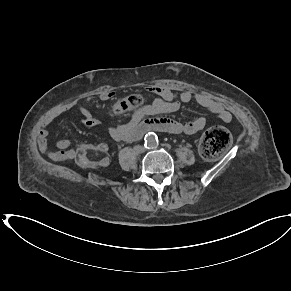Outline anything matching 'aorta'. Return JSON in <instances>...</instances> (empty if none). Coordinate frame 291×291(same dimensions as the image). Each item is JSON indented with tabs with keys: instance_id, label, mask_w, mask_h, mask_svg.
<instances>
[{
	"instance_id": "1",
	"label": "aorta",
	"mask_w": 291,
	"mask_h": 291,
	"mask_svg": "<svg viewBox=\"0 0 291 291\" xmlns=\"http://www.w3.org/2000/svg\"><path fill=\"white\" fill-rule=\"evenodd\" d=\"M146 144L152 146L155 144L156 140L154 136L148 135L145 140Z\"/></svg>"
}]
</instances>
